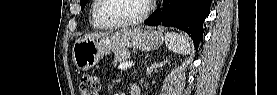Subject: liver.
<instances>
[{
  "instance_id": "1",
  "label": "liver",
  "mask_w": 277,
  "mask_h": 95,
  "mask_svg": "<svg viewBox=\"0 0 277 95\" xmlns=\"http://www.w3.org/2000/svg\"><path fill=\"white\" fill-rule=\"evenodd\" d=\"M104 36V34H89L87 35V37H91V38H97V37H101Z\"/></svg>"
}]
</instances>
